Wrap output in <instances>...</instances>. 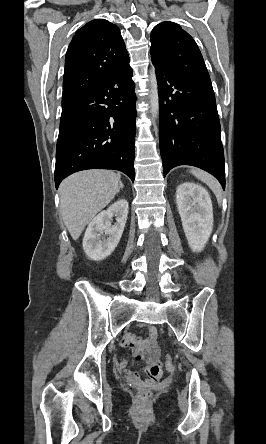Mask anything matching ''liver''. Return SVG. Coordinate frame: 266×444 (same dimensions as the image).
<instances>
[{"label": "liver", "instance_id": "6515ba94", "mask_svg": "<svg viewBox=\"0 0 266 444\" xmlns=\"http://www.w3.org/2000/svg\"><path fill=\"white\" fill-rule=\"evenodd\" d=\"M121 176L109 170L75 173L59 187L60 209L71 237L77 240L86 225L120 190Z\"/></svg>", "mask_w": 266, "mask_h": 444}]
</instances>
